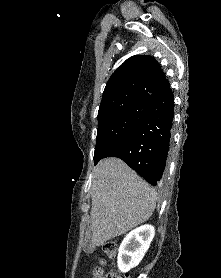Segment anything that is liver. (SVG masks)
<instances>
[{
    "label": "liver",
    "instance_id": "6515ba94",
    "mask_svg": "<svg viewBox=\"0 0 221 278\" xmlns=\"http://www.w3.org/2000/svg\"><path fill=\"white\" fill-rule=\"evenodd\" d=\"M90 251L146 222L156 206V192L118 158L101 160L91 185Z\"/></svg>",
    "mask_w": 221,
    "mask_h": 278
}]
</instances>
